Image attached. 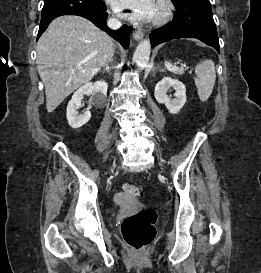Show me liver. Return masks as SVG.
<instances>
[{"label": "liver", "instance_id": "6515ba94", "mask_svg": "<svg viewBox=\"0 0 261 273\" xmlns=\"http://www.w3.org/2000/svg\"><path fill=\"white\" fill-rule=\"evenodd\" d=\"M36 51L46 108L52 112L67 96L89 83L111 59L114 43L87 19L68 15L50 23Z\"/></svg>", "mask_w": 261, "mask_h": 273}]
</instances>
